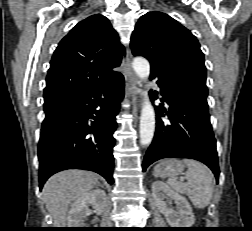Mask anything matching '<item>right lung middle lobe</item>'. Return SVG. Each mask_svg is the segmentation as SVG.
I'll return each mask as SVG.
<instances>
[{
  "label": "right lung middle lobe",
  "instance_id": "right-lung-middle-lobe-1",
  "mask_svg": "<svg viewBox=\"0 0 252 231\" xmlns=\"http://www.w3.org/2000/svg\"><path fill=\"white\" fill-rule=\"evenodd\" d=\"M65 101H53V102H47L44 103V111L45 113L50 112L57 107L61 106Z\"/></svg>",
  "mask_w": 252,
  "mask_h": 231
}]
</instances>
